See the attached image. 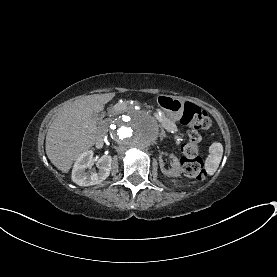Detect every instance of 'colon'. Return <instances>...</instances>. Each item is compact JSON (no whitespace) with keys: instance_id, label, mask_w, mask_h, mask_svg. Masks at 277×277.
I'll list each match as a JSON object with an SVG mask.
<instances>
[{"instance_id":"colon-1","label":"colon","mask_w":277,"mask_h":277,"mask_svg":"<svg viewBox=\"0 0 277 277\" xmlns=\"http://www.w3.org/2000/svg\"><path fill=\"white\" fill-rule=\"evenodd\" d=\"M182 126L189 130L188 141L181 145V168L183 173L191 179L202 180L206 175L204 161L199 156V131L211 127L208 114L192 103H186L180 119Z\"/></svg>"}]
</instances>
